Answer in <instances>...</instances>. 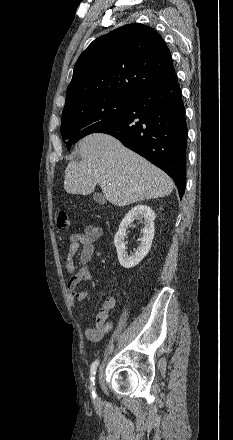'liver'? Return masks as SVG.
<instances>
[{"mask_svg":"<svg viewBox=\"0 0 233 440\" xmlns=\"http://www.w3.org/2000/svg\"><path fill=\"white\" fill-rule=\"evenodd\" d=\"M78 147L82 160L70 162L65 170L67 193L87 195L99 184L104 197L122 207L164 197L173 190V181L165 172L111 135L90 134Z\"/></svg>","mask_w":233,"mask_h":440,"instance_id":"obj_1","label":"liver"}]
</instances>
